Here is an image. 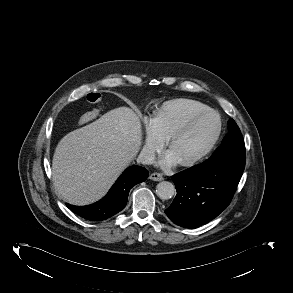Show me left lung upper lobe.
I'll return each mask as SVG.
<instances>
[{
    "label": "left lung upper lobe",
    "mask_w": 293,
    "mask_h": 293,
    "mask_svg": "<svg viewBox=\"0 0 293 293\" xmlns=\"http://www.w3.org/2000/svg\"><path fill=\"white\" fill-rule=\"evenodd\" d=\"M238 147H245L244 140L237 124L233 119H230L228 122V134L224 137L221 146L206 161L216 160L223 154L224 150H233Z\"/></svg>",
    "instance_id": "5c2ea615"
}]
</instances>
